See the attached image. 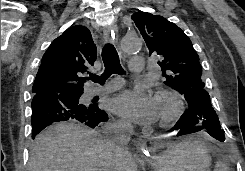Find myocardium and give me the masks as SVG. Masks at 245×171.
<instances>
[{"instance_id":"myocardium-1","label":"myocardium","mask_w":245,"mask_h":171,"mask_svg":"<svg viewBox=\"0 0 245 171\" xmlns=\"http://www.w3.org/2000/svg\"><path fill=\"white\" fill-rule=\"evenodd\" d=\"M156 98L162 99L168 103L166 112L160 117V125L167 126L176 121L184 110V100L182 96L168 89H161L156 92Z\"/></svg>"}]
</instances>
